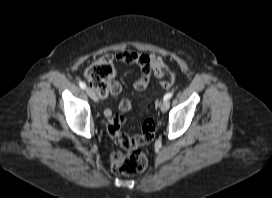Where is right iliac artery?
Instances as JSON below:
<instances>
[{
  "label": "right iliac artery",
  "mask_w": 272,
  "mask_h": 198,
  "mask_svg": "<svg viewBox=\"0 0 272 198\" xmlns=\"http://www.w3.org/2000/svg\"><path fill=\"white\" fill-rule=\"evenodd\" d=\"M79 86L82 88V89H86V84L84 82H79Z\"/></svg>",
  "instance_id": "82829eb1"
}]
</instances>
